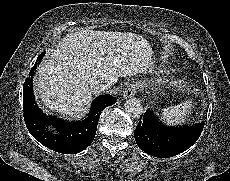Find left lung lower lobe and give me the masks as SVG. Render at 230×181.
Segmentation results:
<instances>
[{"instance_id":"1","label":"left lung lower lobe","mask_w":230,"mask_h":181,"mask_svg":"<svg viewBox=\"0 0 230 181\" xmlns=\"http://www.w3.org/2000/svg\"><path fill=\"white\" fill-rule=\"evenodd\" d=\"M203 127L204 121L191 127H165L148 109L140 119L134 136L138 147L145 153L168 158L190 148L198 140Z\"/></svg>"}]
</instances>
